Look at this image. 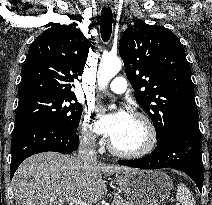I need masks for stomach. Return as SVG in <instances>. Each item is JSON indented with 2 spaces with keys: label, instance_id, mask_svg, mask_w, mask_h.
<instances>
[{
  "label": "stomach",
  "instance_id": "1",
  "mask_svg": "<svg viewBox=\"0 0 212 205\" xmlns=\"http://www.w3.org/2000/svg\"><path fill=\"white\" fill-rule=\"evenodd\" d=\"M116 182L132 205H160L173 188L171 178L162 171L134 169L116 175Z\"/></svg>",
  "mask_w": 212,
  "mask_h": 205
}]
</instances>
